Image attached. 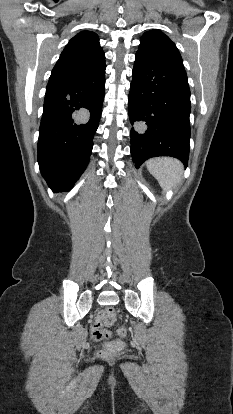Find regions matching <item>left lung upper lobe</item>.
Instances as JSON below:
<instances>
[{
  "mask_svg": "<svg viewBox=\"0 0 233 414\" xmlns=\"http://www.w3.org/2000/svg\"><path fill=\"white\" fill-rule=\"evenodd\" d=\"M137 54L147 56L166 65L184 69L177 47L168 36L159 30H152L143 34Z\"/></svg>",
  "mask_w": 233,
  "mask_h": 414,
  "instance_id": "1",
  "label": "left lung upper lobe"
}]
</instances>
